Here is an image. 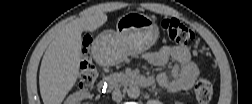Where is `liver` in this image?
<instances>
[{
	"label": "liver",
	"instance_id": "6515ba94",
	"mask_svg": "<svg viewBox=\"0 0 252 104\" xmlns=\"http://www.w3.org/2000/svg\"><path fill=\"white\" fill-rule=\"evenodd\" d=\"M104 13L78 18L60 28L42 58L39 72L40 94L45 104H60L79 76L84 31H94L106 23Z\"/></svg>",
	"mask_w": 252,
	"mask_h": 104
}]
</instances>
